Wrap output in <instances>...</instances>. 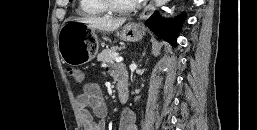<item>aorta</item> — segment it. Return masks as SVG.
I'll return each instance as SVG.
<instances>
[{"instance_id": "obj_1", "label": "aorta", "mask_w": 257, "mask_h": 130, "mask_svg": "<svg viewBox=\"0 0 257 130\" xmlns=\"http://www.w3.org/2000/svg\"><path fill=\"white\" fill-rule=\"evenodd\" d=\"M155 2L157 6H160L164 3V0H156Z\"/></svg>"}]
</instances>
